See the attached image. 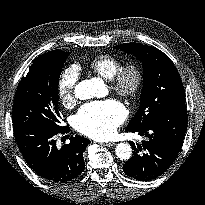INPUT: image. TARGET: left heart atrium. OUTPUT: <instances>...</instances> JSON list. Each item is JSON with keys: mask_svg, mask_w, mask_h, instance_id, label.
Masks as SVG:
<instances>
[{"mask_svg": "<svg viewBox=\"0 0 205 205\" xmlns=\"http://www.w3.org/2000/svg\"><path fill=\"white\" fill-rule=\"evenodd\" d=\"M126 115L125 107L116 100L92 102L80 108L75 116V126L82 134L102 140L115 133Z\"/></svg>", "mask_w": 205, "mask_h": 205, "instance_id": "39dd6f15", "label": "left heart atrium"}]
</instances>
